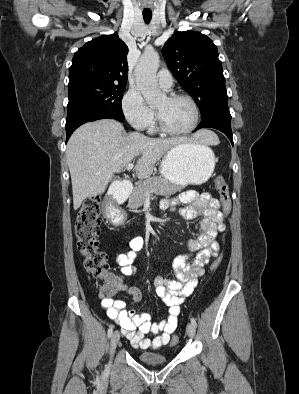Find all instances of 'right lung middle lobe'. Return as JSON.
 <instances>
[{"label":"right lung middle lobe","mask_w":299,"mask_h":394,"mask_svg":"<svg viewBox=\"0 0 299 394\" xmlns=\"http://www.w3.org/2000/svg\"><path fill=\"white\" fill-rule=\"evenodd\" d=\"M67 108L94 106L123 116L121 100L126 85L112 83H87L69 87Z\"/></svg>","instance_id":"right-lung-middle-lobe-1"}]
</instances>
